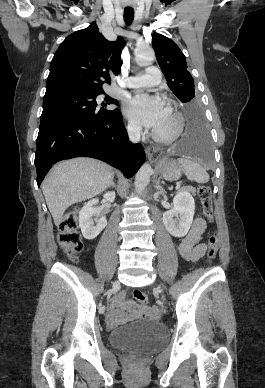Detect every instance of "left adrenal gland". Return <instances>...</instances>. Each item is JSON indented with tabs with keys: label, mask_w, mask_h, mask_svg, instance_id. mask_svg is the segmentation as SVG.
I'll list each match as a JSON object with an SVG mask.
<instances>
[{
	"label": "left adrenal gland",
	"mask_w": 265,
	"mask_h": 388,
	"mask_svg": "<svg viewBox=\"0 0 265 388\" xmlns=\"http://www.w3.org/2000/svg\"><path fill=\"white\" fill-rule=\"evenodd\" d=\"M155 188H158V190H162V186H160V178H158Z\"/></svg>",
	"instance_id": "left-adrenal-gland-1"
}]
</instances>
